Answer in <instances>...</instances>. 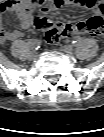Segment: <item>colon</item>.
Returning <instances> with one entry per match:
<instances>
[{
	"label": "colon",
	"instance_id": "colon-1",
	"mask_svg": "<svg viewBox=\"0 0 104 137\" xmlns=\"http://www.w3.org/2000/svg\"><path fill=\"white\" fill-rule=\"evenodd\" d=\"M37 28L42 30V38L49 44H58L62 38L70 37L76 31L72 30L69 26H56L46 24L44 20L37 23ZM84 32H89L93 36H99L103 33V20L99 16H94L90 19L88 26Z\"/></svg>",
	"mask_w": 104,
	"mask_h": 137
}]
</instances>
